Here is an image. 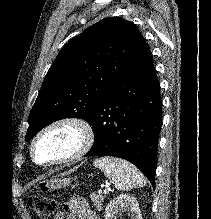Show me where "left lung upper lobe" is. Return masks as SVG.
I'll return each instance as SVG.
<instances>
[{
	"instance_id": "1",
	"label": "left lung upper lobe",
	"mask_w": 211,
	"mask_h": 219,
	"mask_svg": "<svg viewBox=\"0 0 211 219\" xmlns=\"http://www.w3.org/2000/svg\"><path fill=\"white\" fill-rule=\"evenodd\" d=\"M145 45L136 26L119 17L105 18L70 40L46 74L25 140L60 119L90 122L103 96Z\"/></svg>"
}]
</instances>
